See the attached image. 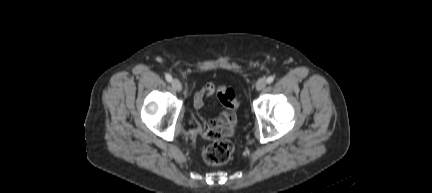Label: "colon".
<instances>
[{
    "label": "colon",
    "mask_w": 432,
    "mask_h": 193,
    "mask_svg": "<svg viewBox=\"0 0 432 193\" xmlns=\"http://www.w3.org/2000/svg\"><path fill=\"white\" fill-rule=\"evenodd\" d=\"M217 97L220 104L228 111L233 112L239 106L235 92L227 86L221 85L217 88ZM232 153V142L226 138H218L204 149L203 159L208 165H222L230 159Z\"/></svg>",
    "instance_id": "1"
}]
</instances>
